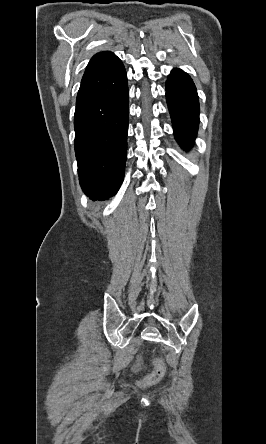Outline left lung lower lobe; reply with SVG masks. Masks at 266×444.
I'll return each instance as SVG.
<instances>
[{
    "label": "left lung lower lobe",
    "mask_w": 266,
    "mask_h": 444,
    "mask_svg": "<svg viewBox=\"0 0 266 444\" xmlns=\"http://www.w3.org/2000/svg\"><path fill=\"white\" fill-rule=\"evenodd\" d=\"M166 99L175 138L184 149L195 140L199 124V100L190 76L175 68L166 81Z\"/></svg>",
    "instance_id": "1"
}]
</instances>
